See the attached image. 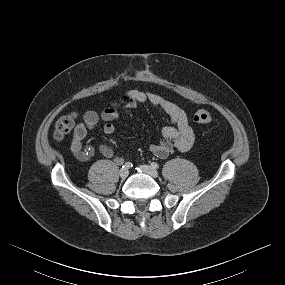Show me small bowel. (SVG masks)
I'll list each match as a JSON object with an SVG mask.
<instances>
[{
  "label": "small bowel",
  "mask_w": 285,
  "mask_h": 285,
  "mask_svg": "<svg viewBox=\"0 0 285 285\" xmlns=\"http://www.w3.org/2000/svg\"><path fill=\"white\" fill-rule=\"evenodd\" d=\"M145 102L160 108L169 117L172 124L162 128V139L158 143L150 145V151L160 158H165L175 149L180 152L190 150L195 141V132L189 124V119L184 109L153 92L126 90L100 113L94 110L85 112L83 121L75 127L73 132L70 146L72 154L82 162L91 161L95 154V149L83 144V140L88 135V132L94 129L99 121H105L103 132L106 135H112L115 131L113 122L119 119L117 109L131 110ZM97 150L116 164H122L124 161V157L116 154L107 144H99Z\"/></svg>",
  "instance_id": "1"
}]
</instances>
